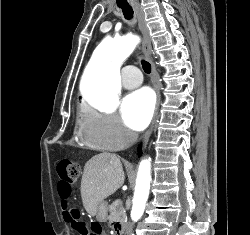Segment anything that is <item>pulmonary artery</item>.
Wrapping results in <instances>:
<instances>
[{"label": "pulmonary artery", "mask_w": 250, "mask_h": 235, "mask_svg": "<svg viewBox=\"0 0 250 235\" xmlns=\"http://www.w3.org/2000/svg\"><path fill=\"white\" fill-rule=\"evenodd\" d=\"M122 85L127 89H133L142 83V75L136 66L128 65L122 70Z\"/></svg>", "instance_id": "pulmonary-artery-1"}]
</instances>
